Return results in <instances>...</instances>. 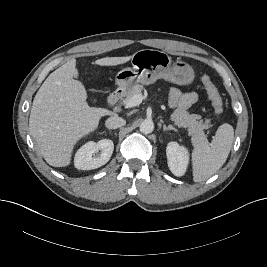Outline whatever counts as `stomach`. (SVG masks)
Returning a JSON list of instances; mask_svg holds the SVG:
<instances>
[{
  "label": "stomach",
  "instance_id": "0dacf381",
  "mask_svg": "<svg viewBox=\"0 0 267 267\" xmlns=\"http://www.w3.org/2000/svg\"><path fill=\"white\" fill-rule=\"evenodd\" d=\"M131 68H125L116 75V83L121 90H130L138 83L149 85L157 79H164L177 85L190 84L194 71L184 61L172 64L171 57L159 50L142 49L131 57Z\"/></svg>",
  "mask_w": 267,
  "mask_h": 267
}]
</instances>
